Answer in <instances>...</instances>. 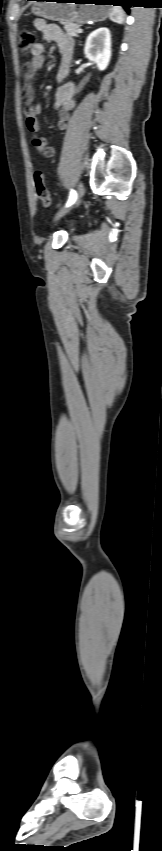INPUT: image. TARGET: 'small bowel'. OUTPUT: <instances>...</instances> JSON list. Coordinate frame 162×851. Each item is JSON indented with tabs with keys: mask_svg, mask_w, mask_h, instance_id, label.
<instances>
[{
	"mask_svg": "<svg viewBox=\"0 0 162 851\" xmlns=\"http://www.w3.org/2000/svg\"><path fill=\"white\" fill-rule=\"evenodd\" d=\"M35 27L42 33L46 41L54 42L57 45L60 63L56 79L61 83L69 71L73 40L58 25L47 23L43 19H37L35 21ZM31 54V61L25 63L23 67L25 80L23 88L25 124L28 131L32 134V144L35 149L43 157L51 158L55 155L54 147L49 144L45 137L38 134V115L41 113L42 108L40 104L34 103V89L32 85V79L35 73L44 65V46L40 43L35 44L31 50ZM74 95L75 86L71 82L61 83L56 89L53 106L58 110L57 128L60 131L67 129L70 113L75 107Z\"/></svg>",
	"mask_w": 162,
	"mask_h": 851,
	"instance_id": "c3829d8e",
	"label": "small bowel"
}]
</instances>
